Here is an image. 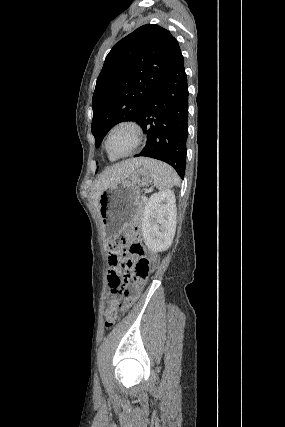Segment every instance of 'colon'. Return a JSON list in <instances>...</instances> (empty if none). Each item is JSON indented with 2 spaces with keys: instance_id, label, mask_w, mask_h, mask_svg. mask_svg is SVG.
Masks as SVG:
<instances>
[{
  "instance_id": "colon-1",
  "label": "colon",
  "mask_w": 285,
  "mask_h": 427,
  "mask_svg": "<svg viewBox=\"0 0 285 427\" xmlns=\"http://www.w3.org/2000/svg\"><path fill=\"white\" fill-rule=\"evenodd\" d=\"M138 229H128L112 245L110 254L119 257L121 252L128 248V254L132 258L127 262L119 260L122 271L132 270V276L128 283L124 281L122 274H110L108 277L112 289V296L108 300V313L105 322L106 328H111L117 321V311L125 302L134 300L147 281L152 270V258L145 253L138 241Z\"/></svg>"
}]
</instances>
